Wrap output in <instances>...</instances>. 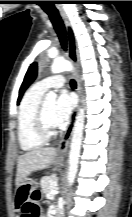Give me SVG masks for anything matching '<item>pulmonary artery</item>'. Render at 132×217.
<instances>
[{"label":"pulmonary artery","mask_w":132,"mask_h":217,"mask_svg":"<svg viewBox=\"0 0 132 217\" xmlns=\"http://www.w3.org/2000/svg\"><path fill=\"white\" fill-rule=\"evenodd\" d=\"M65 83L66 80L62 75H54L38 81L35 85H37L42 90L47 91L52 88H60L64 86Z\"/></svg>","instance_id":"obj_1"}]
</instances>
